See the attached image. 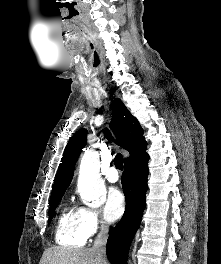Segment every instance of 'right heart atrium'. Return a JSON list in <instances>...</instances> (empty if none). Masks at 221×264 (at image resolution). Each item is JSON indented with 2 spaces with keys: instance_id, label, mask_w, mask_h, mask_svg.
Segmentation results:
<instances>
[{
  "instance_id": "right-heart-atrium-1",
  "label": "right heart atrium",
  "mask_w": 221,
  "mask_h": 264,
  "mask_svg": "<svg viewBox=\"0 0 221 264\" xmlns=\"http://www.w3.org/2000/svg\"><path fill=\"white\" fill-rule=\"evenodd\" d=\"M82 220L88 237L98 231L105 230V222L101 219L99 212L92 208H82Z\"/></svg>"
}]
</instances>
